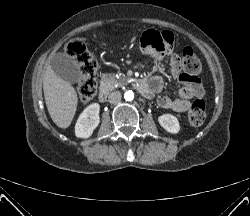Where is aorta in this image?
Segmentation results:
<instances>
[{"mask_svg": "<svg viewBox=\"0 0 250 216\" xmlns=\"http://www.w3.org/2000/svg\"><path fill=\"white\" fill-rule=\"evenodd\" d=\"M124 98H125L126 101H132L134 99L133 91H131V90L126 91L125 94H124Z\"/></svg>", "mask_w": 250, "mask_h": 216, "instance_id": "obj_1", "label": "aorta"}]
</instances>
